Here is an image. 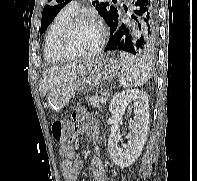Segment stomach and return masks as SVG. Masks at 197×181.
I'll return each mask as SVG.
<instances>
[{"mask_svg":"<svg viewBox=\"0 0 197 181\" xmlns=\"http://www.w3.org/2000/svg\"><path fill=\"white\" fill-rule=\"evenodd\" d=\"M121 72L117 59L98 58L89 63L87 71L73 80L55 85L48 97V106L56 111L62 110L69 100L86 86H99L111 81Z\"/></svg>","mask_w":197,"mask_h":181,"instance_id":"0dacf381","label":"stomach"}]
</instances>
